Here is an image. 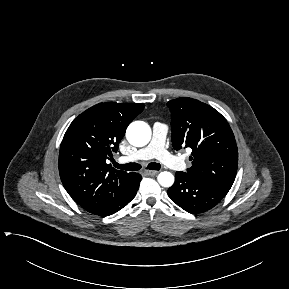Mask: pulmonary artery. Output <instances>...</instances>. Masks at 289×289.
Wrapping results in <instances>:
<instances>
[{
  "label": "pulmonary artery",
  "mask_w": 289,
  "mask_h": 289,
  "mask_svg": "<svg viewBox=\"0 0 289 289\" xmlns=\"http://www.w3.org/2000/svg\"><path fill=\"white\" fill-rule=\"evenodd\" d=\"M168 133V127L163 124L156 122L153 125V133L150 143L136 151L133 155L123 157L121 161H132V160H148L156 158L163 164L173 169H181L184 167V163L179 158L171 155L165 149V141Z\"/></svg>",
  "instance_id": "pulmonary-artery-1"
}]
</instances>
